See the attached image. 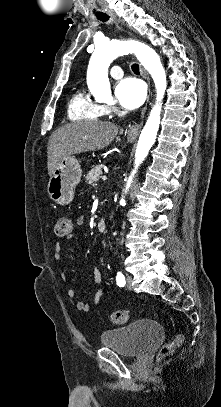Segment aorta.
I'll return each instance as SVG.
<instances>
[{"mask_svg":"<svg viewBox=\"0 0 221 407\" xmlns=\"http://www.w3.org/2000/svg\"><path fill=\"white\" fill-rule=\"evenodd\" d=\"M134 53L139 62L150 73L155 83L157 92L156 103L153 106L147 122L140 134L136 153L135 168L146 158L150 148L155 142L160 125V113L162 99L165 94L167 80L164 67L158 54L148 45L135 41H109L97 44L91 56L87 70V84L90 92L99 101H107L111 98L108 68L111 62L119 56ZM133 171L132 175H134ZM132 177L126 184V191L130 187ZM124 200L121 199V202Z\"/></svg>","mask_w":221,"mask_h":407,"instance_id":"1","label":"aorta"}]
</instances>
